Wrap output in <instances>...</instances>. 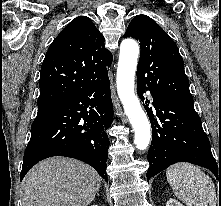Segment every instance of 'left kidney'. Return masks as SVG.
<instances>
[{"label":"left kidney","mask_w":221,"mask_h":206,"mask_svg":"<svg viewBox=\"0 0 221 206\" xmlns=\"http://www.w3.org/2000/svg\"><path fill=\"white\" fill-rule=\"evenodd\" d=\"M166 206H183V204L177 201L176 199L171 198L167 201Z\"/></svg>","instance_id":"1"}]
</instances>
